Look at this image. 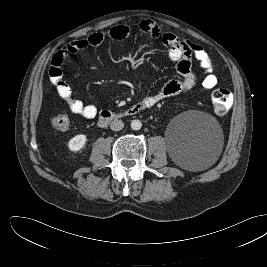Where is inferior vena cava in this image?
Wrapping results in <instances>:
<instances>
[{"label":"inferior vena cava","instance_id":"602c4592","mask_svg":"<svg viewBox=\"0 0 267 267\" xmlns=\"http://www.w3.org/2000/svg\"><path fill=\"white\" fill-rule=\"evenodd\" d=\"M124 127V123L121 120L115 119L110 123V128L113 131H120Z\"/></svg>","mask_w":267,"mask_h":267}]
</instances>
